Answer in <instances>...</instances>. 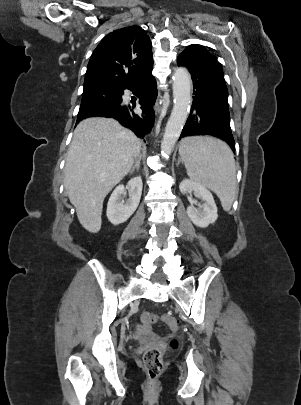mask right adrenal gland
Segmentation results:
<instances>
[{
	"mask_svg": "<svg viewBox=\"0 0 301 405\" xmlns=\"http://www.w3.org/2000/svg\"><path fill=\"white\" fill-rule=\"evenodd\" d=\"M140 162H141V155L138 156V158L135 161L134 166L130 170V174H132L135 170L139 171L140 169Z\"/></svg>",
	"mask_w": 301,
	"mask_h": 405,
	"instance_id": "right-adrenal-gland-1",
	"label": "right adrenal gland"
}]
</instances>
